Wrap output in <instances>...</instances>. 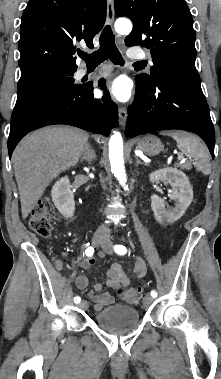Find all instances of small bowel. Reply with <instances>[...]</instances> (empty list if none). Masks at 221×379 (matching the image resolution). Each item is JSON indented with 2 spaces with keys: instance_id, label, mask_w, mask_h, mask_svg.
Returning a JSON list of instances; mask_svg holds the SVG:
<instances>
[{
  "instance_id": "obj_1",
  "label": "small bowel",
  "mask_w": 221,
  "mask_h": 379,
  "mask_svg": "<svg viewBox=\"0 0 221 379\" xmlns=\"http://www.w3.org/2000/svg\"><path fill=\"white\" fill-rule=\"evenodd\" d=\"M95 263L94 257L88 256L82 263V267L84 269H89L93 266ZM56 267L58 269L62 268L61 261H56ZM133 273L136 278L141 279L147 274V267L144 261L140 258H138L135 262V266L133 268ZM109 280L107 282V286L111 289H115L118 292H122L124 289H126L131 284V279L129 276L125 273L122 266L113 263L108 270L107 273ZM75 283L77 288L79 289H85L88 286V278L85 275H78L75 279ZM103 286L101 283H96L94 285L93 290L88 292V297L91 301L94 302V308L96 311H101L105 307L111 305L114 301L113 296L110 292L105 291L100 293Z\"/></svg>"
}]
</instances>
